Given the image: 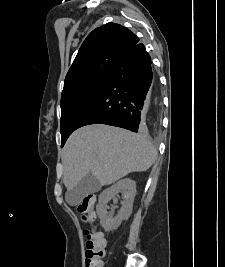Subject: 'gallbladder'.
Instances as JSON below:
<instances>
[{"mask_svg":"<svg viewBox=\"0 0 225 267\" xmlns=\"http://www.w3.org/2000/svg\"><path fill=\"white\" fill-rule=\"evenodd\" d=\"M100 189V182L93 174L89 173L74 188L66 192L65 198L69 205L76 206L86 195L95 193Z\"/></svg>","mask_w":225,"mask_h":267,"instance_id":"obj_1","label":"gallbladder"}]
</instances>
